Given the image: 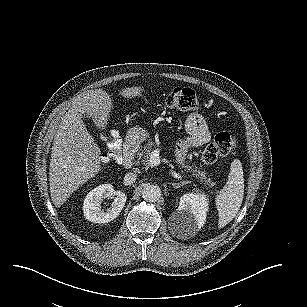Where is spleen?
I'll use <instances>...</instances> for the list:
<instances>
[{
	"label": "spleen",
	"instance_id": "obj_1",
	"mask_svg": "<svg viewBox=\"0 0 307 307\" xmlns=\"http://www.w3.org/2000/svg\"><path fill=\"white\" fill-rule=\"evenodd\" d=\"M244 196V177L242 163L234 159L230 165L228 181L216 196V208L218 210V228L225 227L238 213Z\"/></svg>",
	"mask_w": 307,
	"mask_h": 307
}]
</instances>
